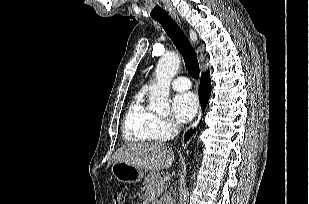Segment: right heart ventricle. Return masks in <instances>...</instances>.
Segmentation results:
<instances>
[{
  "label": "right heart ventricle",
  "mask_w": 309,
  "mask_h": 204,
  "mask_svg": "<svg viewBox=\"0 0 309 204\" xmlns=\"http://www.w3.org/2000/svg\"><path fill=\"white\" fill-rule=\"evenodd\" d=\"M157 115L144 104L141 96L136 97L129 106L124 123L123 137L130 142L154 140L153 126Z\"/></svg>",
  "instance_id": "1"
}]
</instances>
